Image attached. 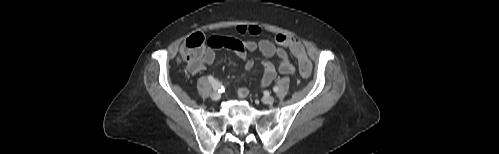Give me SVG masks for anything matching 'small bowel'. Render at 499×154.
<instances>
[{"label": "small bowel", "instance_id": "obj_1", "mask_svg": "<svg viewBox=\"0 0 499 154\" xmlns=\"http://www.w3.org/2000/svg\"><path fill=\"white\" fill-rule=\"evenodd\" d=\"M237 32L241 35H258L260 29L255 25H239ZM227 48L234 51L242 60L246 70H251L254 66L253 60L248 57V52L259 50L266 58L276 57L278 64L275 65L270 60L263 62L264 74L260 81L261 86L269 85L276 77L277 72L289 75L295 70V67L290 60L288 52L281 46H277L267 39L240 40L233 37L213 36L208 39V46L205 51L201 64L197 67L188 66L192 74L198 73L206 65H210L215 58L217 49ZM239 98H245L248 95V90L245 87H240L237 90Z\"/></svg>", "mask_w": 499, "mask_h": 154}]
</instances>
